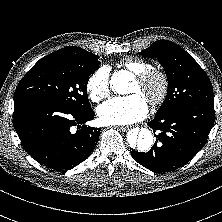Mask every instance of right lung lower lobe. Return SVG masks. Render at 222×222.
<instances>
[{"instance_id": "obj_1", "label": "right lung lower lobe", "mask_w": 222, "mask_h": 222, "mask_svg": "<svg viewBox=\"0 0 222 222\" xmlns=\"http://www.w3.org/2000/svg\"><path fill=\"white\" fill-rule=\"evenodd\" d=\"M94 115L92 108L71 109L40 97L14 98L13 124L23 147L56 171L72 169L91 155L101 129L85 123Z\"/></svg>"}]
</instances>
